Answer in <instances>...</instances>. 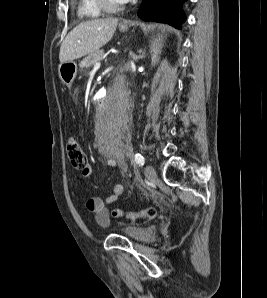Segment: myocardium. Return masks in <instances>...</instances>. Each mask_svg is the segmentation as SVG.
Masks as SVG:
<instances>
[{"mask_svg": "<svg viewBox=\"0 0 267 298\" xmlns=\"http://www.w3.org/2000/svg\"><path fill=\"white\" fill-rule=\"evenodd\" d=\"M99 8L104 13H116L122 10L123 5L120 4H113L109 0H96Z\"/></svg>", "mask_w": 267, "mask_h": 298, "instance_id": "obj_1", "label": "myocardium"}]
</instances>
